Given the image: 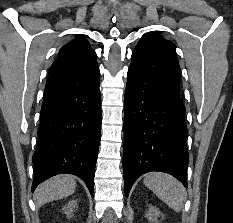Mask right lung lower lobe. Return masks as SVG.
<instances>
[{"label": "right lung lower lobe", "mask_w": 233, "mask_h": 223, "mask_svg": "<svg viewBox=\"0 0 233 223\" xmlns=\"http://www.w3.org/2000/svg\"><path fill=\"white\" fill-rule=\"evenodd\" d=\"M100 71L97 62L49 75L33 154L32 191L61 173L82 178L93 193L101 127Z\"/></svg>", "instance_id": "1"}]
</instances>
